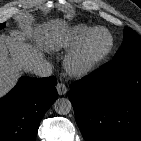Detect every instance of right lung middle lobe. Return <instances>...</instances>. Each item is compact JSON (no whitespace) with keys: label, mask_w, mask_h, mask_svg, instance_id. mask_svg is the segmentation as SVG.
<instances>
[{"label":"right lung middle lobe","mask_w":141,"mask_h":141,"mask_svg":"<svg viewBox=\"0 0 141 141\" xmlns=\"http://www.w3.org/2000/svg\"><path fill=\"white\" fill-rule=\"evenodd\" d=\"M5 27V23L0 24V30Z\"/></svg>","instance_id":"obj_1"}]
</instances>
